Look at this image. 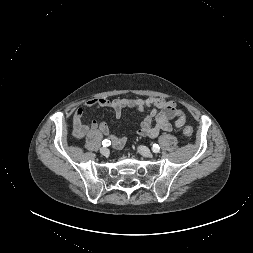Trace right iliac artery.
Segmentation results:
<instances>
[{
	"instance_id": "82829eb1",
	"label": "right iliac artery",
	"mask_w": 253,
	"mask_h": 253,
	"mask_svg": "<svg viewBox=\"0 0 253 253\" xmlns=\"http://www.w3.org/2000/svg\"><path fill=\"white\" fill-rule=\"evenodd\" d=\"M102 144H103L104 147H106V146H109L111 144V141L108 140V139H105V140L102 141Z\"/></svg>"
}]
</instances>
